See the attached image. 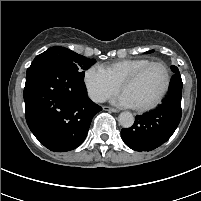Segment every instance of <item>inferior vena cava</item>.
<instances>
[{
	"instance_id": "obj_1",
	"label": "inferior vena cava",
	"mask_w": 201,
	"mask_h": 201,
	"mask_svg": "<svg viewBox=\"0 0 201 201\" xmlns=\"http://www.w3.org/2000/svg\"><path fill=\"white\" fill-rule=\"evenodd\" d=\"M98 102H104L105 101V97L104 96H100L97 98Z\"/></svg>"
}]
</instances>
